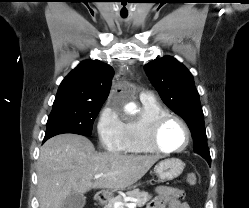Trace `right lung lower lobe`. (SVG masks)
<instances>
[{
    "label": "right lung lower lobe",
    "mask_w": 249,
    "mask_h": 208,
    "mask_svg": "<svg viewBox=\"0 0 249 208\" xmlns=\"http://www.w3.org/2000/svg\"><path fill=\"white\" fill-rule=\"evenodd\" d=\"M53 136H55V135L45 136V137H44V140H43V143H44L46 140H48L49 138L53 137Z\"/></svg>",
    "instance_id": "obj_1"
}]
</instances>
